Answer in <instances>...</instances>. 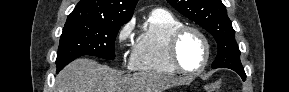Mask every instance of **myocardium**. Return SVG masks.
I'll list each match as a JSON object with an SVG mask.
<instances>
[{
    "mask_svg": "<svg viewBox=\"0 0 289 92\" xmlns=\"http://www.w3.org/2000/svg\"><path fill=\"white\" fill-rule=\"evenodd\" d=\"M189 32L196 34L202 40L204 44V48H205V55H204L203 63L196 70L185 69L181 64L179 60V55H178V48H179L180 41L183 38V36ZM168 55H169V59L172 65L178 72L186 74V75H197V74L202 73L208 65V62L210 59V43H209L207 36L200 29L194 26L183 25L177 28L171 34L169 38V42H168Z\"/></svg>",
    "mask_w": 289,
    "mask_h": 92,
    "instance_id": "1",
    "label": "myocardium"
}]
</instances>
